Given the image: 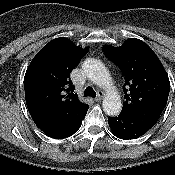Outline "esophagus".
Returning a JSON list of instances; mask_svg holds the SVG:
<instances>
[{
    "instance_id": "esophagus-1",
    "label": "esophagus",
    "mask_w": 175,
    "mask_h": 175,
    "mask_svg": "<svg viewBox=\"0 0 175 175\" xmlns=\"http://www.w3.org/2000/svg\"><path fill=\"white\" fill-rule=\"evenodd\" d=\"M103 97H104V93L102 91H98L97 96L94 100L95 101H101L103 99Z\"/></svg>"
}]
</instances>
